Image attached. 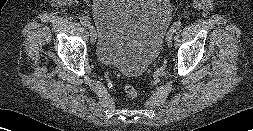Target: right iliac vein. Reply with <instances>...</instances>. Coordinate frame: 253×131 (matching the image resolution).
Instances as JSON below:
<instances>
[{"label": "right iliac vein", "instance_id": "1", "mask_svg": "<svg viewBox=\"0 0 253 131\" xmlns=\"http://www.w3.org/2000/svg\"><path fill=\"white\" fill-rule=\"evenodd\" d=\"M91 42L94 44L96 42V31L93 25L88 26Z\"/></svg>", "mask_w": 253, "mask_h": 131}]
</instances>
